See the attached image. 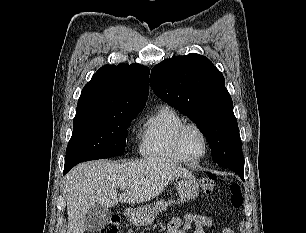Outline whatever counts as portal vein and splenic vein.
Listing matches in <instances>:
<instances>
[{
	"instance_id": "18ae733b",
	"label": "portal vein and splenic vein",
	"mask_w": 306,
	"mask_h": 233,
	"mask_svg": "<svg viewBox=\"0 0 306 233\" xmlns=\"http://www.w3.org/2000/svg\"><path fill=\"white\" fill-rule=\"evenodd\" d=\"M127 187H128L127 184H122V185L120 186L121 189H126Z\"/></svg>"
}]
</instances>
